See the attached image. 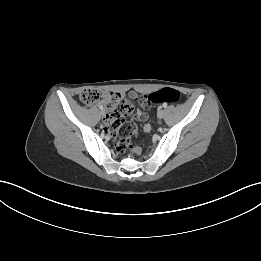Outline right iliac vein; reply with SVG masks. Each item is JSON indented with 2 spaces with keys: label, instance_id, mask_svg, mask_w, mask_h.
Returning <instances> with one entry per match:
<instances>
[{
  "label": "right iliac vein",
  "instance_id": "obj_1",
  "mask_svg": "<svg viewBox=\"0 0 261 261\" xmlns=\"http://www.w3.org/2000/svg\"><path fill=\"white\" fill-rule=\"evenodd\" d=\"M101 114H102V115H104V114H105L104 110H102V111H101Z\"/></svg>",
  "mask_w": 261,
  "mask_h": 261
}]
</instances>
